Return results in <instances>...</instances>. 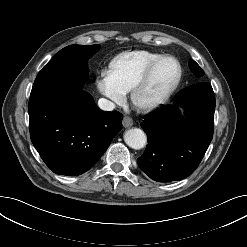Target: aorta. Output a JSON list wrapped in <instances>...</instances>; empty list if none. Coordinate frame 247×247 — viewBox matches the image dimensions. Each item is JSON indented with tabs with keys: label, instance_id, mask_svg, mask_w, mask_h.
Returning a JSON list of instances; mask_svg holds the SVG:
<instances>
[{
	"label": "aorta",
	"instance_id": "obj_1",
	"mask_svg": "<svg viewBox=\"0 0 247 247\" xmlns=\"http://www.w3.org/2000/svg\"><path fill=\"white\" fill-rule=\"evenodd\" d=\"M125 143L136 150L142 149L147 142L145 133L139 128H132L124 133Z\"/></svg>",
	"mask_w": 247,
	"mask_h": 247
}]
</instances>
